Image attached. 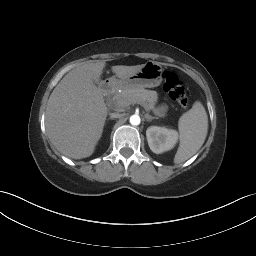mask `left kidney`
Returning a JSON list of instances; mask_svg holds the SVG:
<instances>
[{"label":"left kidney","instance_id":"left-kidney-1","mask_svg":"<svg viewBox=\"0 0 256 256\" xmlns=\"http://www.w3.org/2000/svg\"><path fill=\"white\" fill-rule=\"evenodd\" d=\"M146 136L150 149L156 154L172 149L178 140L176 130L159 126L149 127Z\"/></svg>","mask_w":256,"mask_h":256}]
</instances>
